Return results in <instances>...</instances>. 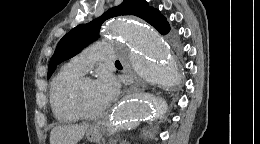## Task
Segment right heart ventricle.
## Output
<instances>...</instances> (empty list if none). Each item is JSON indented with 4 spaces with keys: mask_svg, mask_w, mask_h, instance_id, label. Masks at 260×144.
Masks as SVG:
<instances>
[{
    "mask_svg": "<svg viewBox=\"0 0 260 144\" xmlns=\"http://www.w3.org/2000/svg\"><path fill=\"white\" fill-rule=\"evenodd\" d=\"M84 73L71 62L61 67L50 84V104L54 117L60 123H73L79 116L72 107V97L76 83Z\"/></svg>",
    "mask_w": 260,
    "mask_h": 144,
    "instance_id": "right-heart-ventricle-1",
    "label": "right heart ventricle"
}]
</instances>
